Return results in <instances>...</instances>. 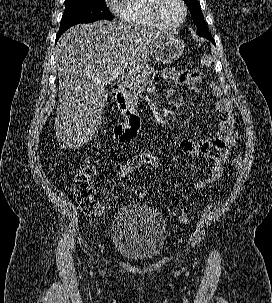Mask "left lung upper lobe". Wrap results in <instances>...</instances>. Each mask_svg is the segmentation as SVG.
I'll return each mask as SVG.
<instances>
[{"label": "left lung upper lobe", "instance_id": "left-lung-upper-lobe-1", "mask_svg": "<svg viewBox=\"0 0 272 303\" xmlns=\"http://www.w3.org/2000/svg\"><path fill=\"white\" fill-rule=\"evenodd\" d=\"M186 3L192 17L194 20V23L196 24L197 27V34L199 36L209 38L212 37L210 32L208 31L205 21H204V16L201 11V6L198 0H184Z\"/></svg>", "mask_w": 272, "mask_h": 303}]
</instances>
